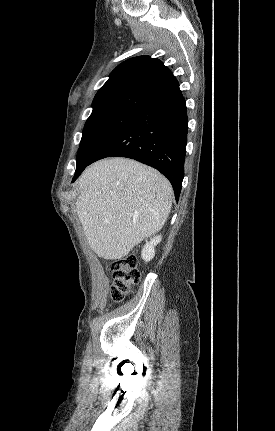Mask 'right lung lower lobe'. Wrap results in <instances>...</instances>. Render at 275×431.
Wrapping results in <instances>:
<instances>
[{
	"mask_svg": "<svg viewBox=\"0 0 275 431\" xmlns=\"http://www.w3.org/2000/svg\"><path fill=\"white\" fill-rule=\"evenodd\" d=\"M187 132V108L178 86L136 110L88 165L106 157L135 159L167 177L178 201L184 177ZM85 168L75 172L72 182Z\"/></svg>",
	"mask_w": 275,
	"mask_h": 431,
	"instance_id": "1",
	"label": "right lung lower lobe"
}]
</instances>
